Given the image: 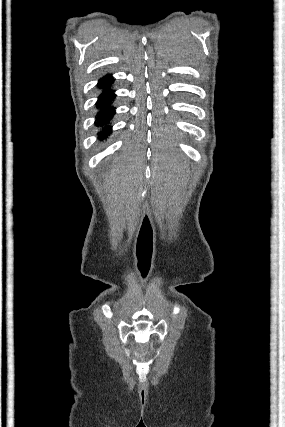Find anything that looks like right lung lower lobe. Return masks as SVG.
I'll list each match as a JSON object with an SVG mask.
<instances>
[{
  "mask_svg": "<svg viewBox=\"0 0 285 427\" xmlns=\"http://www.w3.org/2000/svg\"><path fill=\"white\" fill-rule=\"evenodd\" d=\"M113 81L114 79L112 76L107 75L101 78L97 84L98 88L102 89V93L96 103V106L99 109L96 117V125L101 127V130L98 133L99 141L107 139L112 133L110 121L115 114V107L111 105L115 99L114 90L111 89Z\"/></svg>",
  "mask_w": 285,
  "mask_h": 427,
  "instance_id": "1",
  "label": "right lung lower lobe"
}]
</instances>
